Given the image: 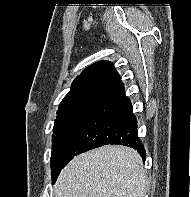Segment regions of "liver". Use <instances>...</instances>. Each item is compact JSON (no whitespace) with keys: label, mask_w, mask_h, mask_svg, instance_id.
Here are the masks:
<instances>
[{"label":"liver","mask_w":191,"mask_h":197,"mask_svg":"<svg viewBox=\"0 0 191 197\" xmlns=\"http://www.w3.org/2000/svg\"><path fill=\"white\" fill-rule=\"evenodd\" d=\"M142 158L132 148L103 146L76 156L61 171L55 197H144Z\"/></svg>","instance_id":"obj_1"}]
</instances>
